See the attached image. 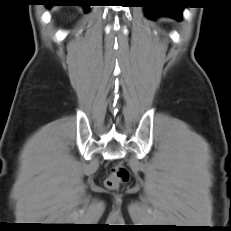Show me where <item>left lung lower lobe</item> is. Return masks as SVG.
<instances>
[{"instance_id": "1", "label": "left lung lower lobe", "mask_w": 231, "mask_h": 231, "mask_svg": "<svg viewBox=\"0 0 231 231\" xmlns=\"http://www.w3.org/2000/svg\"><path fill=\"white\" fill-rule=\"evenodd\" d=\"M179 0H143L146 16L154 19L157 16H170L178 21L182 20L183 6L179 5Z\"/></svg>"}]
</instances>
